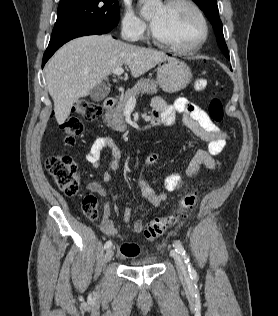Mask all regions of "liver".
<instances>
[{"mask_svg":"<svg viewBox=\"0 0 278 316\" xmlns=\"http://www.w3.org/2000/svg\"><path fill=\"white\" fill-rule=\"evenodd\" d=\"M167 58L163 52L124 43L111 35H90L68 42L46 66L47 89L57 122L64 123L74 103L88 96L114 69L128 66L137 78Z\"/></svg>","mask_w":278,"mask_h":316,"instance_id":"6515ba94","label":"liver"}]
</instances>
